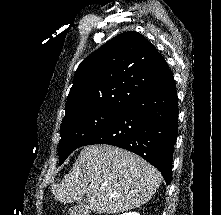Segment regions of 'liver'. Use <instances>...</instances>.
Here are the masks:
<instances>
[{"label": "liver", "instance_id": "obj_1", "mask_svg": "<svg viewBox=\"0 0 221 215\" xmlns=\"http://www.w3.org/2000/svg\"><path fill=\"white\" fill-rule=\"evenodd\" d=\"M161 181L160 172L140 156L111 145H89L62 182L52 186V194L64 203L86 195L93 212L117 214L147 203Z\"/></svg>", "mask_w": 221, "mask_h": 215}]
</instances>
